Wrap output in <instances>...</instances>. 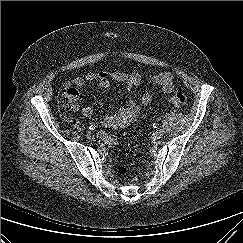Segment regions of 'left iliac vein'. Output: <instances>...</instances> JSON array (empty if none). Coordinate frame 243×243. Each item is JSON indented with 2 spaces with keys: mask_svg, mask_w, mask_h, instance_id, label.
<instances>
[{
  "mask_svg": "<svg viewBox=\"0 0 243 243\" xmlns=\"http://www.w3.org/2000/svg\"><path fill=\"white\" fill-rule=\"evenodd\" d=\"M155 138L156 139H160V138H162L163 137V135H164V131L162 130V129H157L156 131H155Z\"/></svg>",
  "mask_w": 243,
  "mask_h": 243,
  "instance_id": "4c4485c4",
  "label": "left iliac vein"
}]
</instances>
